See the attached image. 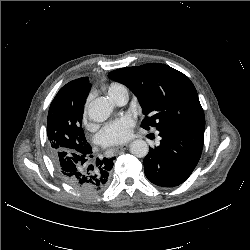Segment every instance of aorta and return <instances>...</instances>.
Segmentation results:
<instances>
[{"instance_id":"1","label":"aorta","mask_w":250,"mask_h":250,"mask_svg":"<svg viewBox=\"0 0 250 250\" xmlns=\"http://www.w3.org/2000/svg\"><path fill=\"white\" fill-rule=\"evenodd\" d=\"M113 103L107 98H98L88 107V116L90 120L100 123L106 121L113 112ZM132 155L143 158L149 152V147L144 140H134L130 145Z\"/></svg>"}]
</instances>
